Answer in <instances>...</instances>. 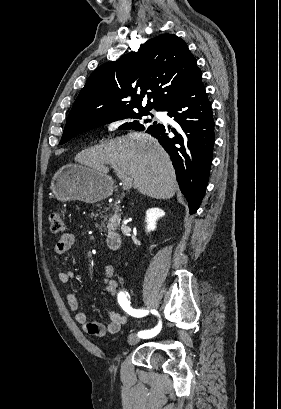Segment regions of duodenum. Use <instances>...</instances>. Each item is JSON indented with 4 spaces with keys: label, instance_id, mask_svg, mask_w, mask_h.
I'll return each mask as SVG.
<instances>
[{
    "label": "duodenum",
    "instance_id": "duodenum-1",
    "mask_svg": "<svg viewBox=\"0 0 281 409\" xmlns=\"http://www.w3.org/2000/svg\"><path fill=\"white\" fill-rule=\"evenodd\" d=\"M108 245L111 249L116 250L121 247V235L118 232L112 231L107 234Z\"/></svg>",
    "mask_w": 281,
    "mask_h": 409
}]
</instances>
